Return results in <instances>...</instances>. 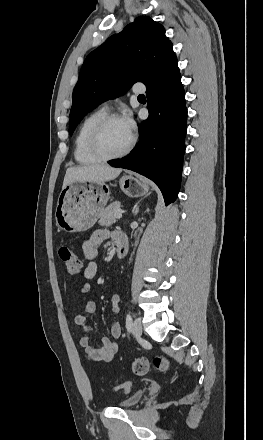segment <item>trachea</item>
Returning a JSON list of instances; mask_svg holds the SVG:
<instances>
[{"mask_svg": "<svg viewBox=\"0 0 263 440\" xmlns=\"http://www.w3.org/2000/svg\"><path fill=\"white\" fill-rule=\"evenodd\" d=\"M138 97H145L144 95H139Z\"/></svg>", "mask_w": 263, "mask_h": 440, "instance_id": "obj_1", "label": "trachea"}]
</instances>
